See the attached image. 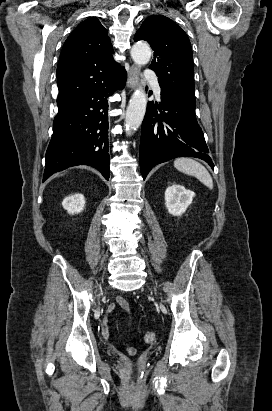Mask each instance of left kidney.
<instances>
[{
	"instance_id": "left-kidney-1",
	"label": "left kidney",
	"mask_w": 272,
	"mask_h": 411,
	"mask_svg": "<svg viewBox=\"0 0 272 411\" xmlns=\"http://www.w3.org/2000/svg\"><path fill=\"white\" fill-rule=\"evenodd\" d=\"M194 192L184 186L173 184L165 191V206L173 216H181L192 203Z\"/></svg>"
}]
</instances>
